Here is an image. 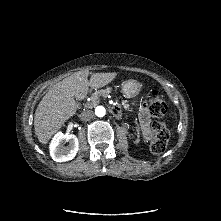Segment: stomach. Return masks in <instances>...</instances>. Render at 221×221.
I'll list each match as a JSON object with an SVG mask.
<instances>
[{"label":"stomach","instance_id":"1","mask_svg":"<svg viewBox=\"0 0 221 221\" xmlns=\"http://www.w3.org/2000/svg\"><path fill=\"white\" fill-rule=\"evenodd\" d=\"M141 84L133 79L127 80L122 85V92L125 97L133 98L140 92Z\"/></svg>","mask_w":221,"mask_h":221}]
</instances>
